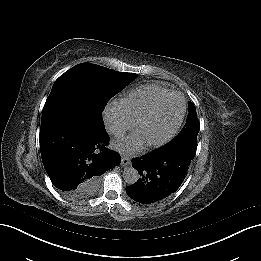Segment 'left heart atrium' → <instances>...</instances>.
I'll return each mask as SVG.
<instances>
[{"label":"left heart atrium","mask_w":261,"mask_h":261,"mask_svg":"<svg viewBox=\"0 0 261 261\" xmlns=\"http://www.w3.org/2000/svg\"><path fill=\"white\" fill-rule=\"evenodd\" d=\"M113 146L125 154H131L139 148V144L133 136H127L113 142Z\"/></svg>","instance_id":"left-heart-atrium-1"}]
</instances>
